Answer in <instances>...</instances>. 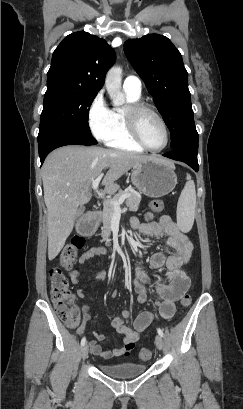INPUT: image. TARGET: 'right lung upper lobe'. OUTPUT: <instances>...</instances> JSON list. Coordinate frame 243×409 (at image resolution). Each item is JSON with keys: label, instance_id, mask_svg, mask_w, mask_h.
Segmentation results:
<instances>
[{"label": "right lung upper lobe", "instance_id": "obj_1", "mask_svg": "<svg viewBox=\"0 0 243 409\" xmlns=\"http://www.w3.org/2000/svg\"><path fill=\"white\" fill-rule=\"evenodd\" d=\"M115 58L114 50L104 39L83 31L72 33L55 49L47 82L98 92Z\"/></svg>", "mask_w": 243, "mask_h": 409}]
</instances>
